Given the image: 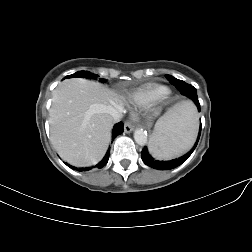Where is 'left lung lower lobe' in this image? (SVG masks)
<instances>
[{
  "mask_svg": "<svg viewBox=\"0 0 252 252\" xmlns=\"http://www.w3.org/2000/svg\"><path fill=\"white\" fill-rule=\"evenodd\" d=\"M178 90L183 94L188 96L189 98H191L195 104L197 105L199 111H200V104L198 101V97H197V91L195 89V87H193L190 84H187L186 82L179 80L177 82H175L174 84ZM200 134H201V125H200V130H199V134H198V138L197 141L194 145V147L184 156L178 158V159H174L171 161H159V160H155L149 153L147 147H144V149L141 152L142 155V160L143 162L148 165L149 167H152L154 169H158V170H169V169H173L179 165H181L182 163H184L189 156L192 154V152L194 151V149L196 148L199 138H200Z\"/></svg>",
  "mask_w": 252,
  "mask_h": 252,
  "instance_id": "1",
  "label": "left lung lower lobe"
}]
</instances>
